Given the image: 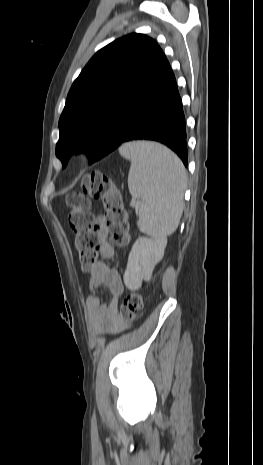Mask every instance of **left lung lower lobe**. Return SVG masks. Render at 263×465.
<instances>
[{"instance_id":"1","label":"left lung lower lobe","mask_w":263,"mask_h":465,"mask_svg":"<svg viewBox=\"0 0 263 465\" xmlns=\"http://www.w3.org/2000/svg\"><path fill=\"white\" fill-rule=\"evenodd\" d=\"M132 140H153L172 149L188 163L186 124L176 80L162 54L140 81L135 99L122 107L109 140L97 161ZM66 159L62 165H66Z\"/></svg>"}]
</instances>
